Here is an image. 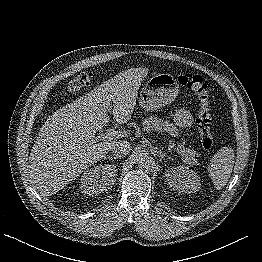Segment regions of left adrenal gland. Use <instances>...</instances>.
<instances>
[{
	"label": "left adrenal gland",
	"mask_w": 262,
	"mask_h": 262,
	"mask_svg": "<svg viewBox=\"0 0 262 262\" xmlns=\"http://www.w3.org/2000/svg\"><path fill=\"white\" fill-rule=\"evenodd\" d=\"M159 155H160L161 159H163V158L172 159L171 156L167 155L166 153H163L161 150L159 151Z\"/></svg>",
	"instance_id": "a2214340"
}]
</instances>
